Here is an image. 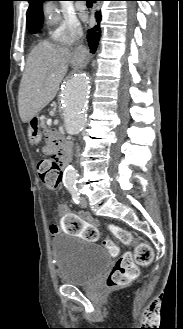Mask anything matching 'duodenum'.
<instances>
[{
  "label": "duodenum",
  "instance_id": "1",
  "mask_svg": "<svg viewBox=\"0 0 183 329\" xmlns=\"http://www.w3.org/2000/svg\"><path fill=\"white\" fill-rule=\"evenodd\" d=\"M69 145L65 140H61L58 146L57 154L59 155V160L62 166H65L68 162Z\"/></svg>",
  "mask_w": 183,
  "mask_h": 329
}]
</instances>
